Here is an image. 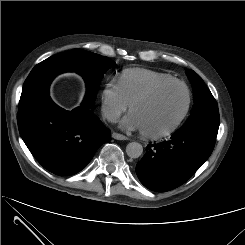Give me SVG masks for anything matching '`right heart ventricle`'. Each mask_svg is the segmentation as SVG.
Instances as JSON below:
<instances>
[{"mask_svg": "<svg viewBox=\"0 0 245 245\" xmlns=\"http://www.w3.org/2000/svg\"><path fill=\"white\" fill-rule=\"evenodd\" d=\"M172 79L173 77L165 73L135 68L124 70L117 84L125 101L130 104L134 98L145 93L154 85Z\"/></svg>", "mask_w": 245, "mask_h": 245, "instance_id": "e07e8e85", "label": "right heart ventricle"}]
</instances>
